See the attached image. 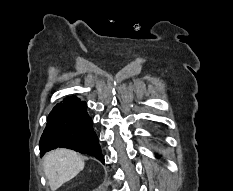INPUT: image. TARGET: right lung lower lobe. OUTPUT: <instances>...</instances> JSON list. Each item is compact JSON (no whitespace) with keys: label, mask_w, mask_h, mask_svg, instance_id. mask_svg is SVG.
<instances>
[{"label":"right lung lower lobe","mask_w":233,"mask_h":191,"mask_svg":"<svg viewBox=\"0 0 233 191\" xmlns=\"http://www.w3.org/2000/svg\"><path fill=\"white\" fill-rule=\"evenodd\" d=\"M86 107L85 101L70 96L53 108L40 139L42 154L57 147H64L95 156L104 163Z\"/></svg>","instance_id":"right-lung-lower-lobe-1"}]
</instances>
